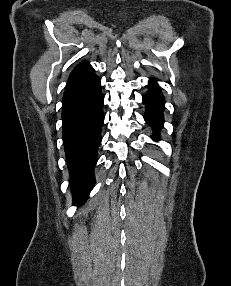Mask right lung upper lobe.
<instances>
[{"instance_id": "obj_1", "label": "right lung upper lobe", "mask_w": 231, "mask_h": 286, "mask_svg": "<svg viewBox=\"0 0 231 286\" xmlns=\"http://www.w3.org/2000/svg\"><path fill=\"white\" fill-rule=\"evenodd\" d=\"M91 71H93L91 65L86 61H82L73 69L69 79L76 77L81 73H90Z\"/></svg>"}]
</instances>
